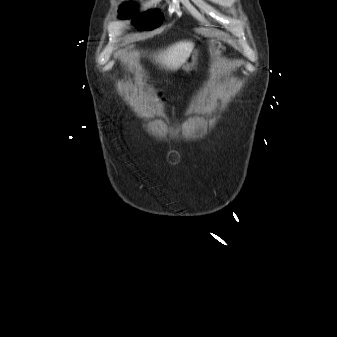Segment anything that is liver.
<instances>
[{
	"mask_svg": "<svg viewBox=\"0 0 337 337\" xmlns=\"http://www.w3.org/2000/svg\"><path fill=\"white\" fill-rule=\"evenodd\" d=\"M193 48L194 43L192 41H180L169 46L166 50L159 51L153 57L161 67L177 71L185 63Z\"/></svg>",
	"mask_w": 337,
	"mask_h": 337,
	"instance_id": "liver-1",
	"label": "liver"
}]
</instances>
